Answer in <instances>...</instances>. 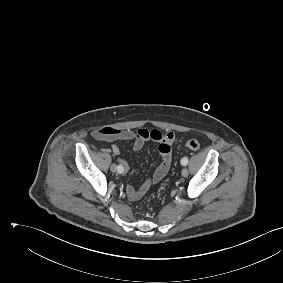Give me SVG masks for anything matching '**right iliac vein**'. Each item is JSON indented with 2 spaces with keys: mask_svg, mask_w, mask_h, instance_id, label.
<instances>
[{
  "mask_svg": "<svg viewBox=\"0 0 283 283\" xmlns=\"http://www.w3.org/2000/svg\"><path fill=\"white\" fill-rule=\"evenodd\" d=\"M110 170H111L112 172H117V171H118L117 166H116L115 164H112V165H111Z\"/></svg>",
  "mask_w": 283,
  "mask_h": 283,
  "instance_id": "right-iliac-vein-1",
  "label": "right iliac vein"
}]
</instances>
